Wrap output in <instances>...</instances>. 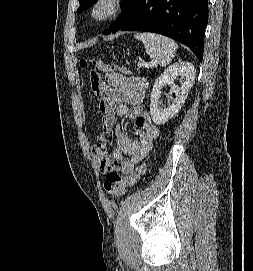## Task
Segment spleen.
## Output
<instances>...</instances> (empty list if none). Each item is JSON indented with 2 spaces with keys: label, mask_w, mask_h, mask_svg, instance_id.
<instances>
[{
  "label": "spleen",
  "mask_w": 253,
  "mask_h": 271,
  "mask_svg": "<svg viewBox=\"0 0 253 271\" xmlns=\"http://www.w3.org/2000/svg\"><path fill=\"white\" fill-rule=\"evenodd\" d=\"M137 40L143 42L146 53L154 58L160 66L169 65L176 55L177 44L172 39L149 32L137 33Z\"/></svg>",
  "instance_id": "1"
}]
</instances>
